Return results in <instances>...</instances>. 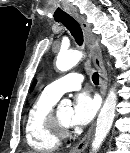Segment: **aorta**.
<instances>
[{
  "label": "aorta",
  "mask_w": 130,
  "mask_h": 153,
  "mask_svg": "<svg viewBox=\"0 0 130 153\" xmlns=\"http://www.w3.org/2000/svg\"><path fill=\"white\" fill-rule=\"evenodd\" d=\"M82 58L83 53L81 51L75 50L70 52H60L56 59V67L62 72L68 71L77 65ZM116 104L117 94L115 89L112 88L109 91L97 118L95 137L92 142L93 152H96L100 148L102 142L111 129L115 117ZM71 105L72 103L69 99H63L61 101V106L63 107L71 108Z\"/></svg>",
  "instance_id": "obj_1"
}]
</instances>
